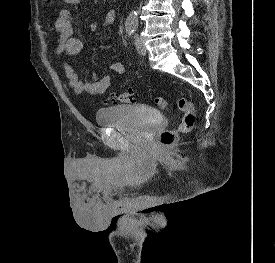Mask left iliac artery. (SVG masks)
<instances>
[{"label": "left iliac artery", "mask_w": 275, "mask_h": 263, "mask_svg": "<svg viewBox=\"0 0 275 263\" xmlns=\"http://www.w3.org/2000/svg\"><path fill=\"white\" fill-rule=\"evenodd\" d=\"M130 30H132L133 32L135 31V28H129Z\"/></svg>", "instance_id": "left-iliac-artery-1"}]
</instances>
